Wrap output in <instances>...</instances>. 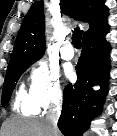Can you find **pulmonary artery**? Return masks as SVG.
I'll list each match as a JSON object with an SVG mask.
<instances>
[{
  "label": "pulmonary artery",
  "instance_id": "1",
  "mask_svg": "<svg viewBox=\"0 0 117 136\" xmlns=\"http://www.w3.org/2000/svg\"><path fill=\"white\" fill-rule=\"evenodd\" d=\"M75 55L71 42L66 40L61 48V56L65 60H71Z\"/></svg>",
  "mask_w": 117,
  "mask_h": 136
}]
</instances>
